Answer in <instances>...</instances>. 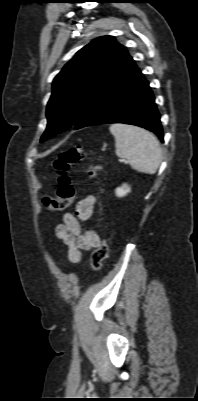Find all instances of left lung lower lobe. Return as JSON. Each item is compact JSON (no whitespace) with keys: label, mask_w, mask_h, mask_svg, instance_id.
Listing matches in <instances>:
<instances>
[{"label":"left lung lower lobe","mask_w":198,"mask_h":401,"mask_svg":"<svg viewBox=\"0 0 198 401\" xmlns=\"http://www.w3.org/2000/svg\"><path fill=\"white\" fill-rule=\"evenodd\" d=\"M125 123L154 132L163 141L160 114L148 81L129 57L91 101L74 125Z\"/></svg>","instance_id":"1"}]
</instances>
